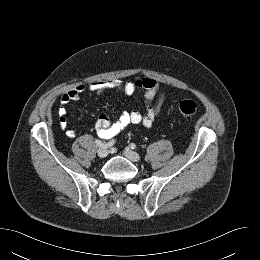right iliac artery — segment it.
<instances>
[{"label": "right iliac artery", "mask_w": 260, "mask_h": 260, "mask_svg": "<svg viewBox=\"0 0 260 260\" xmlns=\"http://www.w3.org/2000/svg\"><path fill=\"white\" fill-rule=\"evenodd\" d=\"M102 138V137H101ZM104 138H109V137H104ZM95 143H96V145L97 146H99V147H102V148H108V147H110V146H112L113 144H114V141L112 140V141H110V142H108V143H103L102 141H100V140H95Z\"/></svg>", "instance_id": "82829eb1"}]
</instances>
